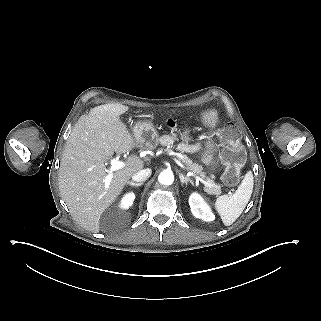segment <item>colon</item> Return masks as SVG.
Returning a JSON list of instances; mask_svg holds the SVG:
<instances>
[{"label": "colon", "instance_id": "obj_1", "mask_svg": "<svg viewBox=\"0 0 321 321\" xmlns=\"http://www.w3.org/2000/svg\"><path fill=\"white\" fill-rule=\"evenodd\" d=\"M166 125L169 128L177 127V120L168 118ZM183 129L185 132L191 131L189 123L184 124ZM222 140L225 143V148L221 152L220 158L225 165L223 180L227 184H233L237 181L240 174V167L244 161L243 148L239 142L238 130L234 125H227L222 132Z\"/></svg>", "mask_w": 321, "mask_h": 321}]
</instances>
